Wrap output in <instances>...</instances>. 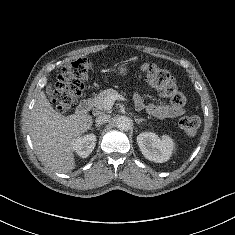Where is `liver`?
I'll list each match as a JSON object with an SVG mask.
<instances>
[{
  "label": "liver",
  "mask_w": 235,
  "mask_h": 235,
  "mask_svg": "<svg viewBox=\"0 0 235 235\" xmlns=\"http://www.w3.org/2000/svg\"><path fill=\"white\" fill-rule=\"evenodd\" d=\"M92 126L88 114L64 116L56 112L45 93H39L31 113L30 134L41 160L51 169L68 173L75 168L76 139Z\"/></svg>",
  "instance_id": "liver-1"
}]
</instances>
